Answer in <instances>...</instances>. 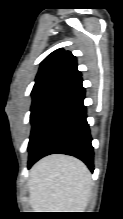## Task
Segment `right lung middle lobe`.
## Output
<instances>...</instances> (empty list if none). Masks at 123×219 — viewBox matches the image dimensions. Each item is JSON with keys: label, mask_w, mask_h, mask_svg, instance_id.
Segmentation results:
<instances>
[{"label": "right lung middle lobe", "mask_w": 123, "mask_h": 219, "mask_svg": "<svg viewBox=\"0 0 123 219\" xmlns=\"http://www.w3.org/2000/svg\"><path fill=\"white\" fill-rule=\"evenodd\" d=\"M70 83L71 82L68 81H54L33 88L31 93L33 101L30 116L32 130L28 144L29 157L31 155L32 146L40 133L46 115Z\"/></svg>", "instance_id": "dd1d6c3e"}]
</instances>
